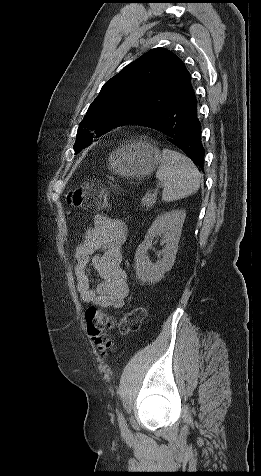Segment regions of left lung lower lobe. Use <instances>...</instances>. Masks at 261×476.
Returning a JSON list of instances; mask_svg holds the SVG:
<instances>
[{
	"label": "left lung lower lobe",
	"mask_w": 261,
	"mask_h": 476,
	"mask_svg": "<svg viewBox=\"0 0 261 476\" xmlns=\"http://www.w3.org/2000/svg\"><path fill=\"white\" fill-rule=\"evenodd\" d=\"M140 124L164 134L173 146L181 149L196 165L203 167L202 131L193 88L169 108Z\"/></svg>",
	"instance_id": "obj_1"
}]
</instances>
